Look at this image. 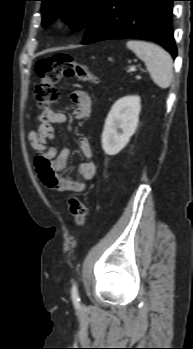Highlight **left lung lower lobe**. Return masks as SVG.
<instances>
[{
  "label": "left lung lower lobe",
  "instance_id": "obj_1",
  "mask_svg": "<svg viewBox=\"0 0 193 349\" xmlns=\"http://www.w3.org/2000/svg\"><path fill=\"white\" fill-rule=\"evenodd\" d=\"M175 0H106L87 27L82 44L108 39L153 41L173 58L177 50L172 32V2Z\"/></svg>",
  "mask_w": 193,
  "mask_h": 349
}]
</instances>
